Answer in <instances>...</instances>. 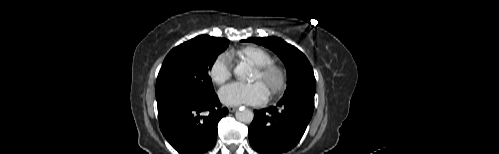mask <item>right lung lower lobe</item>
<instances>
[{
    "label": "right lung lower lobe",
    "mask_w": 499,
    "mask_h": 154,
    "mask_svg": "<svg viewBox=\"0 0 499 154\" xmlns=\"http://www.w3.org/2000/svg\"><path fill=\"white\" fill-rule=\"evenodd\" d=\"M160 129L181 154H202L213 148L218 121L228 113L214 93L204 97L171 94L157 99Z\"/></svg>",
    "instance_id": "98d812e1"
}]
</instances>
